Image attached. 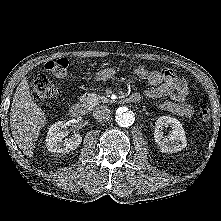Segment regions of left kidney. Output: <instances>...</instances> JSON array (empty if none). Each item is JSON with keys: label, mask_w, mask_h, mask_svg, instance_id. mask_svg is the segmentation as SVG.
<instances>
[{"label": "left kidney", "mask_w": 221, "mask_h": 221, "mask_svg": "<svg viewBox=\"0 0 221 221\" xmlns=\"http://www.w3.org/2000/svg\"><path fill=\"white\" fill-rule=\"evenodd\" d=\"M163 126L171 127L172 131L168 137H164ZM154 140L162 153H174L181 151L187 146L185 130L182 124L170 116H162L156 122Z\"/></svg>", "instance_id": "obj_1"}]
</instances>
